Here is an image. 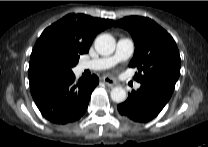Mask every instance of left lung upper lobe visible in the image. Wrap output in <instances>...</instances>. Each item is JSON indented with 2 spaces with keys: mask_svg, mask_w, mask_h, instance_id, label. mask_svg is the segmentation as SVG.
<instances>
[{
  "mask_svg": "<svg viewBox=\"0 0 208 147\" xmlns=\"http://www.w3.org/2000/svg\"><path fill=\"white\" fill-rule=\"evenodd\" d=\"M116 26L128 30L135 42V53L129 66L137 67L135 80L158 82L174 90L180 75L181 59L172 36L153 20L130 16Z\"/></svg>",
  "mask_w": 208,
  "mask_h": 147,
  "instance_id": "obj_1",
  "label": "left lung upper lobe"
}]
</instances>
